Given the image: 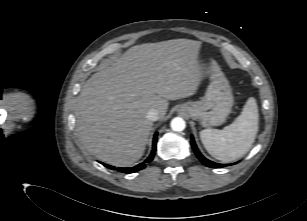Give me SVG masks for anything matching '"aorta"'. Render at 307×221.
<instances>
[{
  "instance_id": "obj_1",
  "label": "aorta",
  "mask_w": 307,
  "mask_h": 221,
  "mask_svg": "<svg viewBox=\"0 0 307 221\" xmlns=\"http://www.w3.org/2000/svg\"><path fill=\"white\" fill-rule=\"evenodd\" d=\"M170 126L172 128V130L174 131H183L186 127V123L184 121V119L180 118V117H176L174 119H172Z\"/></svg>"
}]
</instances>
